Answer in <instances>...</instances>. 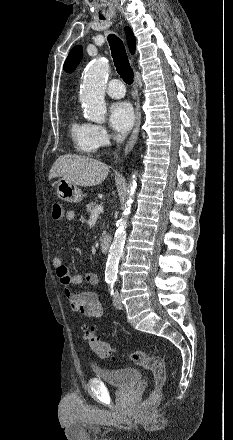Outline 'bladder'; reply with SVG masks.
Here are the masks:
<instances>
[{"instance_id": "bladder-1", "label": "bladder", "mask_w": 233, "mask_h": 440, "mask_svg": "<svg viewBox=\"0 0 233 440\" xmlns=\"http://www.w3.org/2000/svg\"><path fill=\"white\" fill-rule=\"evenodd\" d=\"M92 373L96 378L101 379L105 383L118 388L133 387L141 379L140 370L132 367L103 369L97 366H93Z\"/></svg>"}]
</instances>
